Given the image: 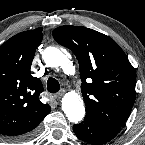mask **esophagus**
Masks as SVG:
<instances>
[{
    "label": "esophagus",
    "instance_id": "esophagus-1",
    "mask_svg": "<svg viewBox=\"0 0 145 145\" xmlns=\"http://www.w3.org/2000/svg\"><path fill=\"white\" fill-rule=\"evenodd\" d=\"M64 94H65V90H64V89H61V90L55 95V97H56L57 99H60Z\"/></svg>",
    "mask_w": 145,
    "mask_h": 145
}]
</instances>
